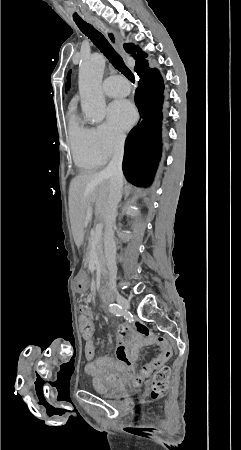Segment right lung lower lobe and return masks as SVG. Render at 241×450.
Returning a JSON list of instances; mask_svg holds the SVG:
<instances>
[{
	"label": "right lung lower lobe",
	"instance_id": "1",
	"mask_svg": "<svg viewBox=\"0 0 241 450\" xmlns=\"http://www.w3.org/2000/svg\"><path fill=\"white\" fill-rule=\"evenodd\" d=\"M134 70L139 76L135 103L143 120L126 139L122 169L128 182L148 186L161 157L164 84L159 71L147 61Z\"/></svg>",
	"mask_w": 241,
	"mask_h": 450
}]
</instances>
